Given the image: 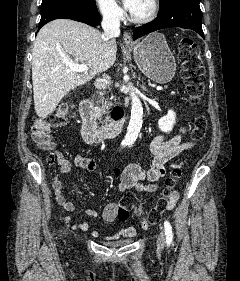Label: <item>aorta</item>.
Instances as JSON below:
<instances>
[{"label": "aorta", "instance_id": "obj_1", "mask_svg": "<svg viewBox=\"0 0 240 281\" xmlns=\"http://www.w3.org/2000/svg\"><path fill=\"white\" fill-rule=\"evenodd\" d=\"M131 118L127 128V133L125 136V141L127 143H133L136 141L140 129L142 127V115L143 108L139 97L131 91Z\"/></svg>", "mask_w": 240, "mask_h": 281}]
</instances>
